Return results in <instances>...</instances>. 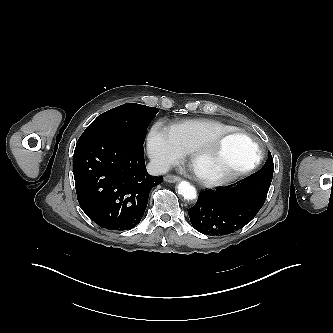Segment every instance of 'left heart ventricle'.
I'll use <instances>...</instances> for the list:
<instances>
[{"instance_id":"obj_1","label":"left heart ventricle","mask_w":333,"mask_h":333,"mask_svg":"<svg viewBox=\"0 0 333 333\" xmlns=\"http://www.w3.org/2000/svg\"><path fill=\"white\" fill-rule=\"evenodd\" d=\"M256 156L255 146L244 136L225 138L216 149L199 158L194 168L204 175H220L249 164Z\"/></svg>"}]
</instances>
